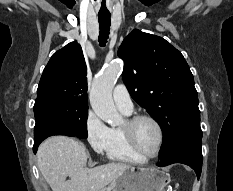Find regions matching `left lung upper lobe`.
<instances>
[{
    "label": "left lung upper lobe",
    "mask_w": 233,
    "mask_h": 191,
    "mask_svg": "<svg viewBox=\"0 0 233 191\" xmlns=\"http://www.w3.org/2000/svg\"><path fill=\"white\" fill-rule=\"evenodd\" d=\"M123 80L164 137L161 158L189 138H202L198 94L183 55L165 39L133 30L118 49Z\"/></svg>",
    "instance_id": "left-lung-upper-lobe-1"
}]
</instances>
